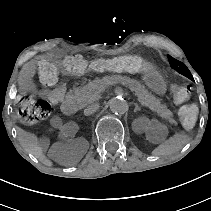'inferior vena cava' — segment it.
<instances>
[{
    "label": "inferior vena cava",
    "mask_w": 211,
    "mask_h": 211,
    "mask_svg": "<svg viewBox=\"0 0 211 211\" xmlns=\"http://www.w3.org/2000/svg\"><path fill=\"white\" fill-rule=\"evenodd\" d=\"M98 109H99V105L97 103H92L84 109V115L89 116L93 114L94 112H96Z\"/></svg>",
    "instance_id": "inferior-vena-cava-1"
}]
</instances>
